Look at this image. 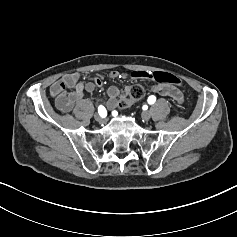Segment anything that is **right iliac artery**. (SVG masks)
I'll use <instances>...</instances> for the list:
<instances>
[{
  "instance_id": "obj_1",
  "label": "right iliac artery",
  "mask_w": 237,
  "mask_h": 237,
  "mask_svg": "<svg viewBox=\"0 0 237 237\" xmlns=\"http://www.w3.org/2000/svg\"><path fill=\"white\" fill-rule=\"evenodd\" d=\"M98 113L101 117H106V115H107V111H106L105 107L102 105H100L98 107Z\"/></svg>"
}]
</instances>
